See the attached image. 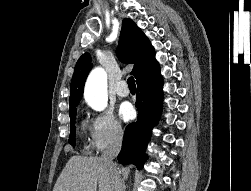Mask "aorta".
I'll use <instances>...</instances> for the list:
<instances>
[{
  "instance_id": "obj_1",
  "label": "aorta",
  "mask_w": 251,
  "mask_h": 191,
  "mask_svg": "<svg viewBox=\"0 0 251 191\" xmlns=\"http://www.w3.org/2000/svg\"><path fill=\"white\" fill-rule=\"evenodd\" d=\"M84 97L88 105L96 111H102L107 105V74L103 68L90 72L84 88Z\"/></svg>"
}]
</instances>
